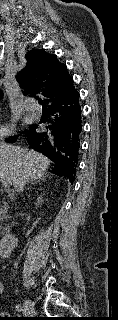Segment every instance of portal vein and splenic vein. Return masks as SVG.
Returning a JSON list of instances; mask_svg holds the SVG:
<instances>
[{
  "label": "portal vein and splenic vein",
  "mask_w": 118,
  "mask_h": 320,
  "mask_svg": "<svg viewBox=\"0 0 118 320\" xmlns=\"http://www.w3.org/2000/svg\"><path fill=\"white\" fill-rule=\"evenodd\" d=\"M0 182L2 183L4 189H9L10 185L12 184V182L8 179H0Z\"/></svg>",
  "instance_id": "18ae733b"
}]
</instances>
